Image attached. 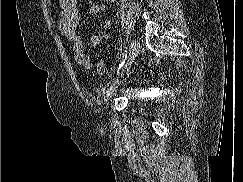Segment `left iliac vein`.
<instances>
[{
	"instance_id": "left-iliac-vein-1",
	"label": "left iliac vein",
	"mask_w": 243,
	"mask_h": 182,
	"mask_svg": "<svg viewBox=\"0 0 243 182\" xmlns=\"http://www.w3.org/2000/svg\"><path fill=\"white\" fill-rule=\"evenodd\" d=\"M139 51H140V43L137 39H134L130 45L129 57L125 67L119 73L118 77L114 80V82L112 83V85L110 86L107 92L108 99L115 93L118 85L122 82V80H124V78H126L129 75L130 68L135 58L139 54Z\"/></svg>"
}]
</instances>
